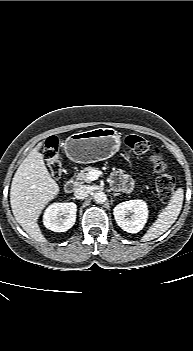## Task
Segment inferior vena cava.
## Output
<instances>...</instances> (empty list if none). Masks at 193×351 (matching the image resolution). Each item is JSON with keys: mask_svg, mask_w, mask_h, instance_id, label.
<instances>
[{"mask_svg": "<svg viewBox=\"0 0 193 351\" xmlns=\"http://www.w3.org/2000/svg\"><path fill=\"white\" fill-rule=\"evenodd\" d=\"M89 193L90 188L87 185H79L74 191V196L77 199H85Z\"/></svg>", "mask_w": 193, "mask_h": 351, "instance_id": "1", "label": "inferior vena cava"}]
</instances>
